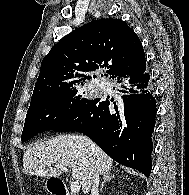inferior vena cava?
Segmentation results:
<instances>
[{
	"mask_svg": "<svg viewBox=\"0 0 189 195\" xmlns=\"http://www.w3.org/2000/svg\"><path fill=\"white\" fill-rule=\"evenodd\" d=\"M99 173L96 172L93 177H92V181H91V195H99V190H98V186H99Z\"/></svg>",
	"mask_w": 189,
	"mask_h": 195,
	"instance_id": "inferior-vena-cava-1",
	"label": "inferior vena cava"
}]
</instances>
